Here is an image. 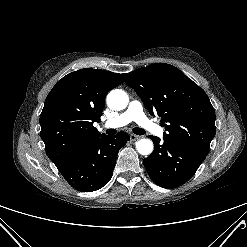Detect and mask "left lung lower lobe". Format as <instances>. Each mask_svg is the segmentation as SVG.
I'll list each match as a JSON object with an SVG mask.
<instances>
[{
  "mask_svg": "<svg viewBox=\"0 0 247 247\" xmlns=\"http://www.w3.org/2000/svg\"><path fill=\"white\" fill-rule=\"evenodd\" d=\"M154 151L144 159V166L152 181L163 188H176L186 183L197 171L207 154L195 149L149 136Z\"/></svg>",
  "mask_w": 247,
  "mask_h": 247,
  "instance_id": "1",
  "label": "left lung lower lobe"
}]
</instances>
